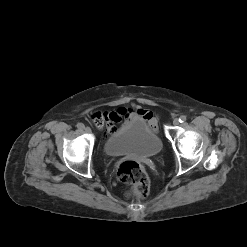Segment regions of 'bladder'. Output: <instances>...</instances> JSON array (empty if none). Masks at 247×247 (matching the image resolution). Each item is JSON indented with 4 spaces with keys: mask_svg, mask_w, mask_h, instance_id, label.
<instances>
[{
    "mask_svg": "<svg viewBox=\"0 0 247 247\" xmlns=\"http://www.w3.org/2000/svg\"><path fill=\"white\" fill-rule=\"evenodd\" d=\"M162 141L141 118L126 121L104 142L103 150L111 157L135 155L153 157L160 153Z\"/></svg>",
    "mask_w": 247,
    "mask_h": 247,
    "instance_id": "1",
    "label": "bladder"
}]
</instances>
